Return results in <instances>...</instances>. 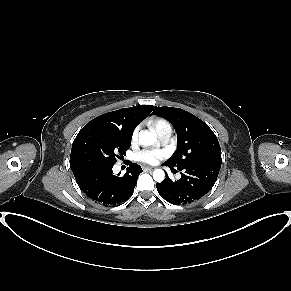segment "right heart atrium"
<instances>
[{
	"instance_id": "obj_1",
	"label": "right heart atrium",
	"mask_w": 291,
	"mask_h": 291,
	"mask_svg": "<svg viewBox=\"0 0 291 291\" xmlns=\"http://www.w3.org/2000/svg\"><path fill=\"white\" fill-rule=\"evenodd\" d=\"M138 132H139V127H135V129L133 130L132 132V135H131V139L132 141H135L138 137Z\"/></svg>"
}]
</instances>
